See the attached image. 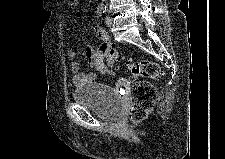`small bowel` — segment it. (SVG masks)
Wrapping results in <instances>:
<instances>
[{
	"mask_svg": "<svg viewBox=\"0 0 225 159\" xmlns=\"http://www.w3.org/2000/svg\"><path fill=\"white\" fill-rule=\"evenodd\" d=\"M95 33H96V36L101 41L100 47H103V46L111 47L109 35L104 29H102L100 27H96ZM75 55H76V53H75L74 49L70 48L67 51V57H68V59L71 60L69 69H70L71 73L73 74V84L75 86H82L84 84L94 81L97 77L96 72L101 73V74L110 73L109 68L104 64L103 59L99 57L98 51H95L92 47H90V46L87 47L86 57L88 59L89 64L91 65V67H93L96 70V72L81 73L79 63L74 60ZM121 82L126 83L125 80H122Z\"/></svg>",
	"mask_w": 225,
	"mask_h": 159,
	"instance_id": "1",
	"label": "small bowel"
}]
</instances>
